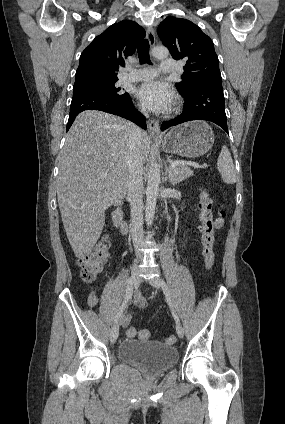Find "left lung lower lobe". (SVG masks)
<instances>
[{
	"mask_svg": "<svg viewBox=\"0 0 285 424\" xmlns=\"http://www.w3.org/2000/svg\"><path fill=\"white\" fill-rule=\"evenodd\" d=\"M182 96L185 99L182 114L163 122L161 130L187 121L208 120L216 123L228 133L221 83L202 84Z\"/></svg>",
	"mask_w": 285,
	"mask_h": 424,
	"instance_id": "obj_1",
	"label": "left lung lower lobe"
}]
</instances>
